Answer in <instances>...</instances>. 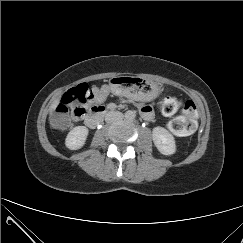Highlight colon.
Segmentation results:
<instances>
[{"instance_id": "1", "label": "colon", "mask_w": 243, "mask_h": 243, "mask_svg": "<svg viewBox=\"0 0 243 243\" xmlns=\"http://www.w3.org/2000/svg\"><path fill=\"white\" fill-rule=\"evenodd\" d=\"M94 90L86 83L69 89L57 105L51 118V125L56 129H64L70 124L71 118L78 120L86 111V105L93 100ZM181 107V115L168 123L171 132L178 136L191 134L196 128V106L191 100L181 103L175 97H168L162 104V113L171 116Z\"/></svg>"}]
</instances>
